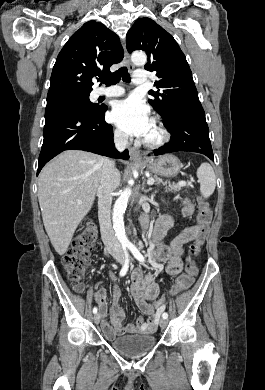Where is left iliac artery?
Segmentation results:
<instances>
[{
  "label": "left iliac artery",
  "instance_id": "1",
  "mask_svg": "<svg viewBox=\"0 0 265 390\" xmlns=\"http://www.w3.org/2000/svg\"><path fill=\"white\" fill-rule=\"evenodd\" d=\"M128 248H129V250L132 252V254L134 255V257H135L138 261H140V262H144V261H145L143 255L140 253V251L136 248L135 245L129 244V245H128ZM162 317L165 318V319H167V318H168V314H167L166 312H164V313L162 314Z\"/></svg>",
  "mask_w": 265,
  "mask_h": 390
}]
</instances>
